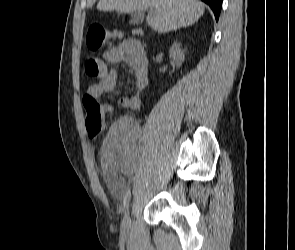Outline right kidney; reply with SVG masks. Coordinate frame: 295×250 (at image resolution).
I'll return each instance as SVG.
<instances>
[{
  "label": "right kidney",
  "instance_id": "1",
  "mask_svg": "<svg viewBox=\"0 0 295 250\" xmlns=\"http://www.w3.org/2000/svg\"><path fill=\"white\" fill-rule=\"evenodd\" d=\"M180 46V43H174L169 51L178 66H181L185 60L184 52L181 50Z\"/></svg>",
  "mask_w": 295,
  "mask_h": 250
}]
</instances>
